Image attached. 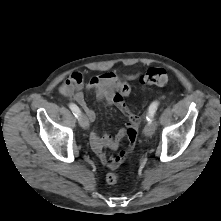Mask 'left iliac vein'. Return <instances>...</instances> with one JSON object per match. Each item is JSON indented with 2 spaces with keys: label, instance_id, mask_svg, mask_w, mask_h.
<instances>
[{
  "label": "left iliac vein",
  "instance_id": "obj_1",
  "mask_svg": "<svg viewBox=\"0 0 221 221\" xmlns=\"http://www.w3.org/2000/svg\"><path fill=\"white\" fill-rule=\"evenodd\" d=\"M156 129V122L152 118V121H149L146 126L144 127L143 133L145 136L149 137L152 136Z\"/></svg>",
  "mask_w": 221,
  "mask_h": 221
}]
</instances>
